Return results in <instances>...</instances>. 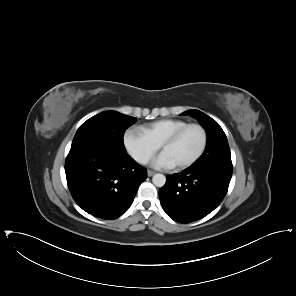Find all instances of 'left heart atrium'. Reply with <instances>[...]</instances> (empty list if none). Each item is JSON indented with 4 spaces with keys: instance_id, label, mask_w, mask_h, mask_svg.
<instances>
[{
    "instance_id": "obj_1",
    "label": "left heart atrium",
    "mask_w": 296,
    "mask_h": 296,
    "mask_svg": "<svg viewBox=\"0 0 296 296\" xmlns=\"http://www.w3.org/2000/svg\"><path fill=\"white\" fill-rule=\"evenodd\" d=\"M152 164L159 169H168L175 166V163L165 153L155 158Z\"/></svg>"
}]
</instances>
